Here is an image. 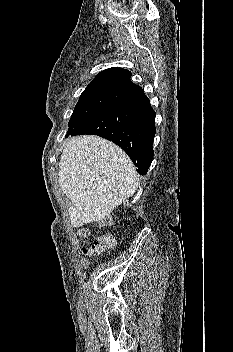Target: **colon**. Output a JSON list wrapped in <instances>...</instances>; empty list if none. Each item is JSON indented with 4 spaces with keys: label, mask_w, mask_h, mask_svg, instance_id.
I'll return each mask as SVG.
<instances>
[{
    "label": "colon",
    "mask_w": 233,
    "mask_h": 352,
    "mask_svg": "<svg viewBox=\"0 0 233 352\" xmlns=\"http://www.w3.org/2000/svg\"><path fill=\"white\" fill-rule=\"evenodd\" d=\"M80 235L82 237H86L88 235L87 230H81ZM114 246V241L109 233H104L97 237L93 243V245L89 248L83 250V255L86 256H98L101 255Z\"/></svg>",
    "instance_id": "1"
}]
</instances>
